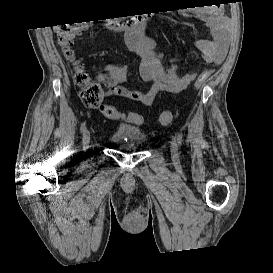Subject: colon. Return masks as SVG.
I'll use <instances>...</instances> for the list:
<instances>
[{
	"label": "colon",
	"mask_w": 273,
	"mask_h": 273,
	"mask_svg": "<svg viewBox=\"0 0 273 273\" xmlns=\"http://www.w3.org/2000/svg\"><path fill=\"white\" fill-rule=\"evenodd\" d=\"M89 20H82L70 23L64 26L57 33V42L64 57L73 64L74 74L73 79L79 88V96L82 103L91 108L99 107L102 114L108 119H122V113L112 105H102L103 90L98 82L91 79L82 65L77 61L73 50L75 39L86 29ZM211 72L206 70L200 74L195 83V88L202 86L209 78ZM127 120L136 124H142L144 119L138 113H129L126 116ZM161 125H168L172 121L170 111H163L158 118Z\"/></svg>",
	"instance_id": "5ec220e1"
}]
</instances>
